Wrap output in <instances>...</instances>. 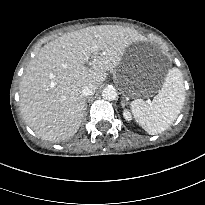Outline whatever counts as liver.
Masks as SVG:
<instances>
[{
  "mask_svg": "<svg viewBox=\"0 0 205 205\" xmlns=\"http://www.w3.org/2000/svg\"><path fill=\"white\" fill-rule=\"evenodd\" d=\"M135 37L131 29L100 25L44 45L26 67L19 88L21 113L28 126L53 142L76 133L86 109L83 87L91 84L97 89Z\"/></svg>",
  "mask_w": 205,
  "mask_h": 205,
  "instance_id": "obj_1",
  "label": "liver"
}]
</instances>
